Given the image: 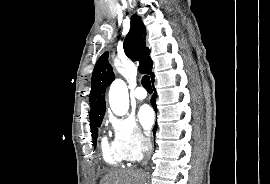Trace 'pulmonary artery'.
I'll list each match as a JSON object with an SVG mask.
<instances>
[{"instance_id":"1","label":"pulmonary artery","mask_w":270,"mask_h":184,"mask_svg":"<svg viewBox=\"0 0 270 184\" xmlns=\"http://www.w3.org/2000/svg\"><path fill=\"white\" fill-rule=\"evenodd\" d=\"M134 96L138 99V100H143L146 98L147 93L145 91V89L143 87H137L134 91Z\"/></svg>"}]
</instances>
